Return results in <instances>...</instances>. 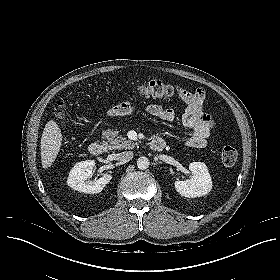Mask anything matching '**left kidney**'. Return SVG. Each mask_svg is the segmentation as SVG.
Instances as JSON below:
<instances>
[{
    "label": "left kidney",
    "instance_id": "1",
    "mask_svg": "<svg viewBox=\"0 0 280 280\" xmlns=\"http://www.w3.org/2000/svg\"><path fill=\"white\" fill-rule=\"evenodd\" d=\"M192 177L185 181H175L176 191L184 197L195 198L208 194L212 189V180L207 166L203 162L189 165Z\"/></svg>",
    "mask_w": 280,
    "mask_h": 280
}]
</instances>
